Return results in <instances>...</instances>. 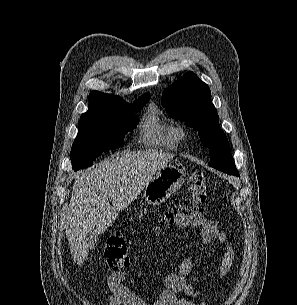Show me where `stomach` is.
Returning a JSON list of instances; mask_svg holds the SVG:
<instances>
[{
	"instance_id": "0dacf381",
	"label": "stomach",
	"mask_w": 297,
	"mask_h": 305,
	"mask_svg": "<svg viewBox=\"0 0 297 305\" xmlns=\"http://www.w3.org/2000/svg\"><path fill=\"white\" fill-rule=\"evenodd\" d=\"M186 169L182 164L169 161L156 171L145 185L144 197L148 204L159 205L179 190L185 181Z\"/></svg>"
}]
</instances>
